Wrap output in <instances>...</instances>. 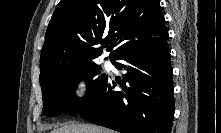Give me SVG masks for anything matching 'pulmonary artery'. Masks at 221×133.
Masks as SVG:
<instances>
[{"mask_svg": "<svg viewBox=\"0 0 221 133\" xmlns=\"http://www.w3.org/2000/svg\"><path fill=\"white\" fill-rule=\"evenodd\" d=\"M106 66L108 67V68H111L112 67V63L110 62V61H106Z\"/></svg>", "mask_w": 221, "mask_h": 133, "instance_id": "pulmonary-artery-1", "label": "pulmonary artery"}]
</instances>
